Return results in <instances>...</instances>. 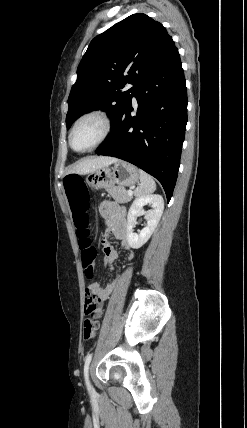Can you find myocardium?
Here are the masks:
<instances>
[{"instance_id":"f54148a6","label":"myocardium","mask_w":247,"mask_h":428,"mask_svg":"<svg viewBox=\"0 0 247 428\" xmlns=\"http://www.w3.org/2000/svg\"><path fill=\"white\" fill-rule=\"evenodd\" d=\"M88 118L99 119L103 124V132L100 138L92 146L85 149H78L73 145V141H72L73 134L75 132V129L79 125V123ZM111 131H112V120H111V117L104 110H101V109L89 110L87 112L82 113L80 116H78L74 121V123L72 124L69 132V136H68L70 147L76 152H90L92 150H95L101 144H103L110 136Z\"/></svg>"}]
</instances>
